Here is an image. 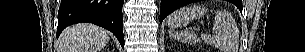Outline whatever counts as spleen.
Masks as SVG:
<instances>
[{
  "mask_svg": "<svg viewBox=\"0 0 305 52\" xmlns=\"http://www.w3.org/2000/svg\"><path fill=\"white\" fill-rule=\"evenodd\" d=\"M233 28V20L227 11H216L213 34H202L198 37L195 33L190 31L175 32L169 31V34L174 39L184 43H198L202 39L205 43L212 45L222 52H231L232 44L229 41V34Z\"/></svg>",
  "mask_w": 305,
  "mask_h": 52,
  "instance_id": "1",
  "label": "spleen"
}]
</instances>
